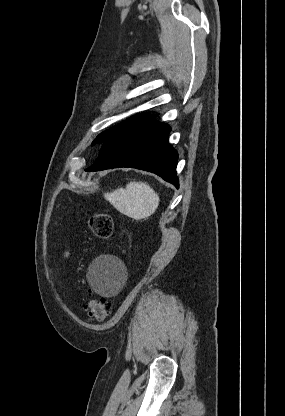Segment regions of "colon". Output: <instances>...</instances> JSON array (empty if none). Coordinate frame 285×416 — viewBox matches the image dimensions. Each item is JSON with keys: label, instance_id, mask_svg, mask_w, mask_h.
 I'll return each instance as SVG.
<instances>
[{"label": "colon", "instance_id": "obj_1", "mask_svg": "<svg viewBox=\"0 0 285 416\" xmlns=\"http://www.w3.org/2000/svg\"><path fill=\"white\" fill-rule=\"evenodd\" d=\"M89 227L93 235L101 240L109 239L113 234V220L109 214L98 213L90 217ZM90 316L103 321L111 313L110 303L103 297L94 295L88 302Z\"/></svg>", "mask_w": 285, "mask_h": 416}]
</instances>
